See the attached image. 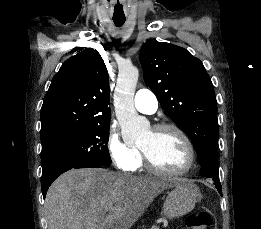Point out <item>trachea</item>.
<instances>
[{
  "mask_svg": "<svg viewBox=\"0 0 261 229\" xmlns=\"http://www.w3.org/2000/svg\"><path fill=\"white\" fill-rule=\"evenodd\" d=\"M125 20V17H113V22L117 27H121L124 24Z\"/></svg>",
  "mask_w": 261,
  "mask_h": 229,
  "instance_id": "3493384b",
  "label": "trachea"
}]
</instances>
